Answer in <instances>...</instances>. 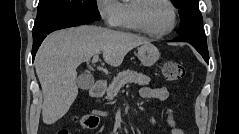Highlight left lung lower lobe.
I'll return each instance as SVG.
<instances>
[{
  "label": "left lung lower lobe",
  "instance_id": "1",
  "mask_svg": "<svg viewBox=\"0 0 239 134\" xmlns=\"http://www.w3.org/2000/svg\"><path fill=\"white\" fill-rule=\"evenodd\" d=\"M174 41H185L190 43L202 55L206 62L209 61L206 36L183 35Z\"/></svg>",
  "mask_w": 239,
  "mask_h": 134
}]
</instances>
